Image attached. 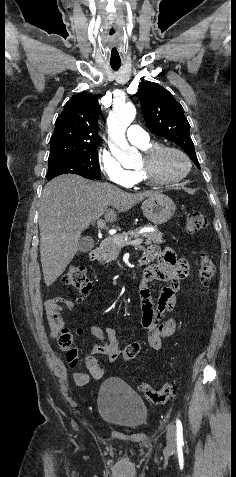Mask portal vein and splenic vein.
<instances>
[{
  "label": "portal vein and splenic vein",
  "mask_w": 236,
  "mask_h": 477,
  "mask_svg": "<svg viewBox=\"0 0 236 477\" xmlns=\"http://www.w3.org/2000/svg\"><path fill=\"white\" fill-rule=\"evenodd\" d=\"M97 225H98L99 228H104V227H105V223H104V221L101 220V219H99V220L97 221ZM112 240H113V242H115L117 245L122 246V247L125 246V245L137 246V245L142 244V242H143V239H141V238H136V239H134V240L126 241V240H123V239L118 238V237H116V236H113V237H112Z\"/></svg>",
  "instance_id": "1"
}]
</instances>
